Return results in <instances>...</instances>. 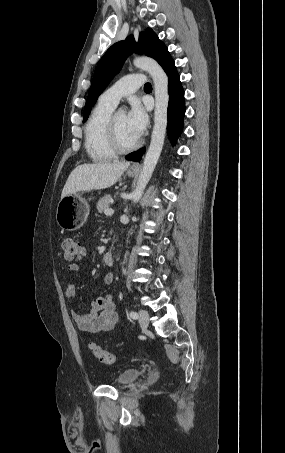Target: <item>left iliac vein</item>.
Instances as JSON below:
<instances>
[{"instance_id": "1", "label": "left iliac vein", "mask_w": 285, "mask_h": 453, "mask_svg": "<svg viewBox=\"0 0 285 453\" xmlns=\"http://www.w3.org/2000/svg\"><path fill=\"white\" fill-rule=\"evenodd\" d=\"M139 323L142 328H147L149 325V314L146 310H139Z\"/></svg>"}]
</instances>
